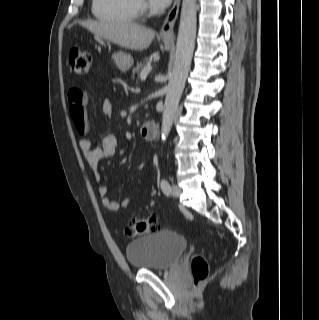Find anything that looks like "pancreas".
I'll return each instance as SVG.
<instances>
[{
  "instance_id": "1",
  "label": "pancreas",
  "mask_w": 319,
  "mask_h": 320,
  "mask_svg": "<svg viewBox=\"0 0 319 320\" xmlns=\"http://www.w3.org/2000/svg\"><path fill=\"white\" fill-rule=\"evenodd\" d=\"M148 63H149V59L148 58H145V59H143V61L138 62L136 67H134L133 70H132L133 76L135 74H138L141 69L145 68Z\"/></svg>"
}]
</instances>
